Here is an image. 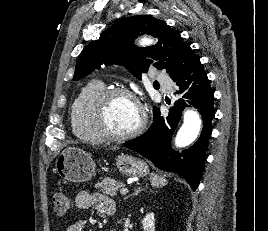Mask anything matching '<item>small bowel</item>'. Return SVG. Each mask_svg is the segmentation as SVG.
<instances>
[{"mask_svg":"<svg viewBox=\"0 0 268 231\" xmlns=\"http://www.w3.org/2000/svg\"><path fill=\"white\" fill-rule=\"evenodd\" d=\"M75 206L79 209L95 208L97 211L112 215L115 212L116 204L110 197L100 193L79 192L75 197ZM85 221L79 220L67 227L66 231H84Z\"/></svg>","mask_w":268,"mask_h":231,"instance_id":"c3829d8e","label":"small bowel"}]
</instances>
